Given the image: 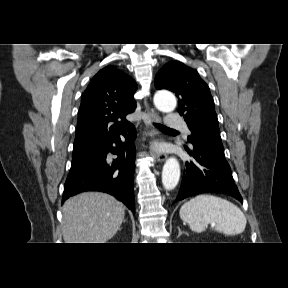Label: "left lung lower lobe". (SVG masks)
<instances>
[{
	"label": "left lung lower lobe",
	"mask_w": 288,
	"mask_h": 288,
	"mask_svg": "<svg viewBox=\"0 0 288 288\" xmlns=\"http://www.w3.org/2000/svg\"><path fill=\"white\" fill-rule=\"evenodd\" d=\"M186 151L194 159L186 162L181 188L175 201L203 192H218L243 202L224 154L198 142L192 143L190 148L186 147Z\"/></svg>",
	"instance_id": "0a47b994"
}]
</instances>
